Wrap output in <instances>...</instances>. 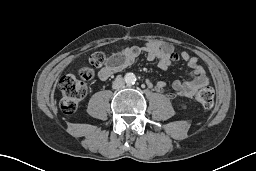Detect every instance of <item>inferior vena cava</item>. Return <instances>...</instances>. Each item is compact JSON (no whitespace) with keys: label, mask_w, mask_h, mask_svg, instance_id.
I'll list each match as a JSON object with an SVG mask.
<instances>
[{"label":"inferior vena cava","mask_w":256,"mask_h":171,"mask_svg":"<svg viewBox=\"0 0 256 171\" xmlns=\"http://www.w3.org/2000/svg\"><path fill=\"white\" fill-rule=\"evenodd\" d=\"M124 79L121 76H117L116 79L112 83L113 89H121L124 87Z\"/></svg>","instance_id":"obj_1"}]
</instances>
